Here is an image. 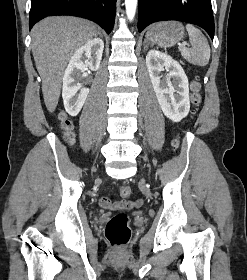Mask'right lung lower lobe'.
<instances>
[{
	"label": "right lung lower lobe",
	"mask_w": 247,
	"mask_h": 280,
	"mask_svg": "<svg viewBox=\"0 0 247 280\" xmlns=\"http://www.w3.org/2000/svg\"><path fill=\"white\" fill-rule=\"evenodd\" d=\"M115 10L116 0H31L29 27L46 16L73 15L97 22L109 34Z\"/></svg>",
	"instance_id": "98d812e1"
}]
</instances>
